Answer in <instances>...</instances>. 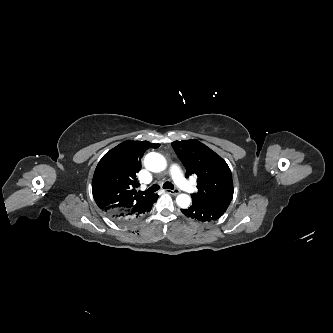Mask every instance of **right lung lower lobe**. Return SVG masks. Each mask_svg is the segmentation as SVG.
I'll list each match as a JSON object with an SVG mask.
<instances>
[{
	"instance_id": "98d812e1",
	"label": "right lung lower lobe",
	"mask_w": 333,
	"mask_h": 333,
	"mask_svg": "<svg viewBox=\"0 0 333 333\" xmlns=\"http://www.w3.org/2000/svg\"><path fill=\"white\" fill-rule=\"evenodd\" d=\"M157 200V195L151 197L145 203L139 204L130 209H114L109 212H106L112 220L118 223H127L137 221L143 216V214L149 212L152 208L153 203Z\"/></svg>"
}]
</instances>
